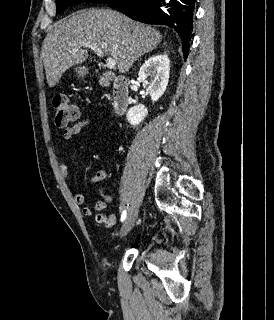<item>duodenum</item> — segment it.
Wrapping results in <instances>:
<instances>
[{
    "label": "duodenum",
    "instance_id": "410a0bca",
    "mask_svg": "<svg viewBox=\"0 0 274 320\" xmlns=\"http://www.w3.org/2000/svg\"><path fill=\"white\" fill-rule=\"evenodd\" d=\"M103 84L109 79L102 77ZM130 99L129 82L126 78L117 77L112 81V109L116 114H122L128 108Z\"/></svg>",
    "mask_w": 274,
    "mask_h": 320
}]
</instances>
